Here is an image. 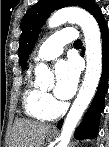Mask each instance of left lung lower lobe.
I'll use <instances>...</instances> for the list:
<instances>
[{
    "mask_svg": "<svg viewBox=\"0 0 109 147\" xmlns=\"http://www.w3.org/2000/svg\"><path fill=\"white\" fill-rule=\"evenodd\" d=\"M97 20L102 36V47H103V69L100 79V83L93 99L91 106L85 113L84 118L77 128L74 136L77 139H92L95 138L98 133V125L100 113L104 107V96L108 88L109 78V32L98 6L94 7L90 12ZM63 121L58 123V128H61Z\"/></svg>",
    "mask_w": 109,
    "mask_h": 147,
    "instance_id": "0a47b994",
    "label": "left lung lower lobe"
}]
</instances>
